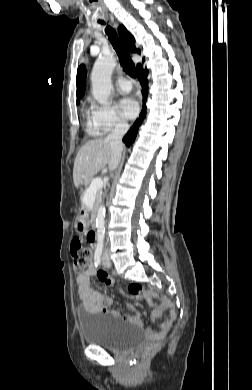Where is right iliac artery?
<instances>
[{
	"label": "right iliac artery",
	"mask_w": 252,
	"mask_h": 390,
	"mask_svg": "<svg viewBox=\"0 0 252 390\" xmlns=\"http://www.w3.org/2000/svg\"><path fill=\"white\" fill-rule=\"evenodd\" d=\"M102 249H103V245H98L96 250H95V253H94V264H95L96 267L100 265Z\"/></svg>",
	"instance_id": "82829eb1"
}]
</instances>
